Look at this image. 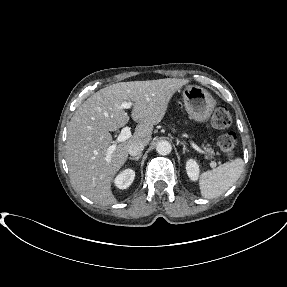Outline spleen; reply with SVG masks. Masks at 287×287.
<instances>
[{
	"instance_id": "3e777b00",
	"label": "spleen",
	"mask_w": 287,
	"mask_h": 287,
	"mask_svg": "<svg viewBox=\"0 0 287 287\" xmlns=\"http://www.w3.org/2000/svg\"><path fill=\"white\" fill-rule=\"evenodd\" d=\"M243 166V160L236 158L213 170L203 172L199 180L201 195L206 199H212L225 193L239 179Z\"/></svg>"
}]
</instances>
